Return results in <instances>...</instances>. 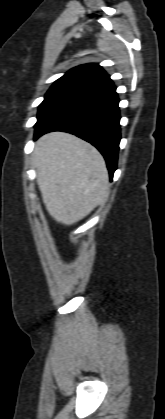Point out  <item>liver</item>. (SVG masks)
Masks as SVG:
<instances>
[{
    "label": "liver",
    "instance_id": "obj_1",
    "mask_svg": "<svg viewBox=\"0 0 165 419\" xmlns=\"http://www.w3.org/2000/svg\"><path fill=\"white\" fill-rule=\"evenodd\" d=\"M37 184L46 210L64 225H72L107 201L109 175L100 152L68 133L39 138L33 152Z\"/></svg>",
    "mask_w": 165,
    "mask_h": 419
}]
</instances>
